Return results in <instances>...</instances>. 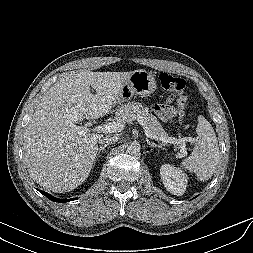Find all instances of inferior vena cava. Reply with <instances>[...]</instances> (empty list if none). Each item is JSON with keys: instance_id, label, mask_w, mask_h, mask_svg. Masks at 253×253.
I'll use <instances>...</instances> for the list:
<instances>
[{"instance_id": "obj_1", "label": "inferior vena cava", "mask_w": 253, "mask_h": 253, "mask_svg": "<svg viewBox=\"0 0 253 253\" xmlns=\"http://www.w3.org/2000/svg\"><path fill=\"white\" fill-rule=\"evenodd\" d=\"M118 140V138L116 136H106V137H102L99 139V143L102 145H109V144H113Z\"/></svg>"}]
</instances>
